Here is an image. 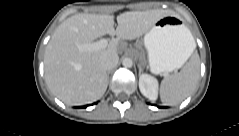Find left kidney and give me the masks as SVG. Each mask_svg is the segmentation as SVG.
Wrapping results in <instances>:
<instances>
[{
  "instance_id": "5707ae66",
  "label": "left kidney",
  "mask_w": 239,
  "mask_h": 136,
  "mask_svg": "<svg viewBox=\"0 0 239 136\" xmlns=\"http://www.w3.org/2000/svg\"><path fill=\"white\" fill-rule=\"evenodd\" d=\"M140 92L149 100L155 101L158 97V81L149 74H142L139 76Z\"/></svg>"
}]
</instances>
